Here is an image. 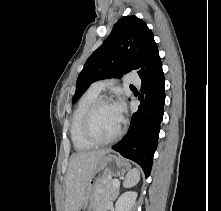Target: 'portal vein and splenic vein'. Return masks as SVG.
<instances>
[{"instance_id":"1","label":"portal vein and splenic vein","mask_w":221,"mask_h":211,"mask_svg":"<svg viewBox=\"0 0 221 211\" xmlns=\"http://www.w3.org/2000/svg\"><path fill=\"white\" fill-rule=\"evenodd\" d=\"M113 185H114L116 188H118V187L120 186L119 180L114 179V180H113Z\"/></svg>"}]
</instances>
